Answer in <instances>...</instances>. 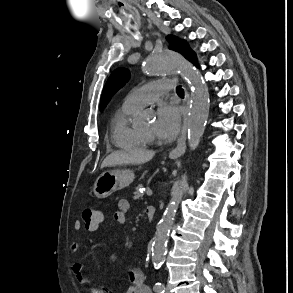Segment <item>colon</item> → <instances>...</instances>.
Masks as SVG:
<instances>
[{"mask_svg": "<svg viewBox=\"0 0 293 293\" xmlns=\"http://www.w3.org/2000/svg\"><path fill=\"white\" fill-rule=\"evenodd\" d=\"M83 224L88 229H95L101 222V212L93 208H85L81 213Z\"/></svg>", "mask_w": 293, "mask_h": 293, "instance_id": "1", "label": "colon"}]
</instances>
